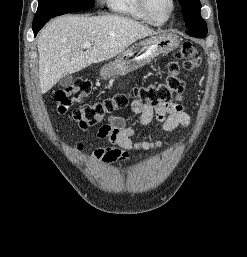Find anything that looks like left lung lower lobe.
<instances>
[{
	"label": "left lung lower lobe",
	"mask_w": 247,
	"mask_h": 257,
	"mask_svg": "<svg viewBox=\"0 0 247 257\" xmlns=\"http://www.w3.org/2000/svg\"><path fill=\"white\" fill-rule=\"evenodd\" d=\"M188 35L190 36H193V37H200V38H204L206 35H201V34H197V33H187Z\"/></svg>",
	"instance_id": "0a47b994"
}]
</instances>
